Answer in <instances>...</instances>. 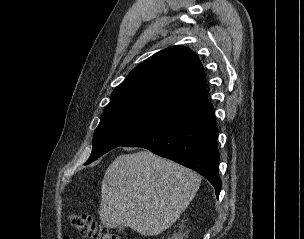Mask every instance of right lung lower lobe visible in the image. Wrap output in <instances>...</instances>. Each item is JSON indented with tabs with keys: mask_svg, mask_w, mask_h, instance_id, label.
Returning <instances> with one entry per match:
<instances>
[{
	"mask_svg": "<svg viewBox=\"0 0 304 239\" xmlns=\"http://www.w3.org/2000/svg\"><path fill=\"white\" fill-rule=\"evenodd\" d=\"M217 138L214 109L206 102L122 146L143 147L197 171L214 186L218 197L222 184L218 174Z\"/></svg>",
	"mask_w": 304,
	"mask_h": 239,
	"instance_id": "1",
	"label": "right lung lower lobe"
}]
</instances>
